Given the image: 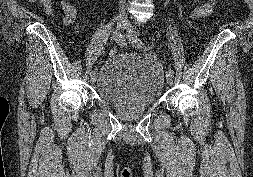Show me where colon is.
Here are the masks:
<instances>
[{
	"label": "colon",
	"mask_w": 253,
	"mask_h": 177,
	"mask_svg": "<svg viewBox=\"0 0 253 177\" xmlns=\"http://www.w3.org/2000/svg\"><path fill=\"white\" fill-rule=\"evenodd\" d=\"M117 54V49L115 47H111L109 49V55L110 56H115Z\"/></svg>",
	"instance_id": "1"
}]
</instances>
